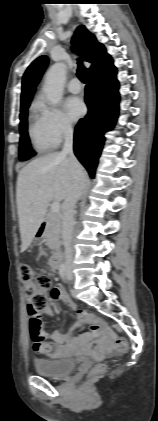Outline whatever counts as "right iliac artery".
Masks as SVG:
<instances>
[{
  "mask_svg": "<svg viewBox=\"0 0 158 421\" xmlns=\"http://www.w3.org/2000/svg\"><path fill=\"white\" fill-rule=\"evenodd\" d=\"M59 274L61 278L65 281V275H66V265L62 264L59 268Z\"/></svg>",
  "mask_w": 158,
  "mask_h": 421,
  "instance_id": "right-iliac-artery-1",
  "label": "right iliac artery"
}]
</instances>
